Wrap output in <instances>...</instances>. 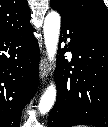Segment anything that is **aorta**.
<instances>
[{"label": "aorta", "instance_id": "1", "mask_svg": "<svg viewBox=\"0 0 108 127\" xmlns=\"http://www.w3.org/2000/svg\"><path fill=\"white\" fill-rule=\"evenodd\" d=\"M61 18L58 12H49L44 21V41L50 61L55 59L58 47ZM56 100V87L53 83L47 87L40 99L38 110L41 114L49 112Z\"/></svg>", "mask_w": 108, "mask_h": 127}]
</instances>
